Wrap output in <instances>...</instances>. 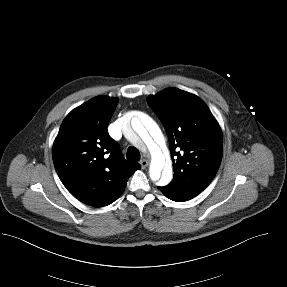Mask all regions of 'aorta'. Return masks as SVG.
Here are the masks:
<instances>
[{
	"instance_id": "aorta-1",
	"label": "aorta",
	"mask_w": 287,
	"mask_h": 287,
	"mask_svg": "<svg viewBox=\"0 0 287 287\" xmlns=\"http://www.w3.org/2000/svg\"><path fill=\"white\" fill-rule=\"evenodd\" d=\"M142 121L148 131L137 118L132 119V128L142 138L151 154V164L149 168L150 178L153 181H158L160 185L165 186L172 180L173 170L168 153L162 151L160 146L164 145V136L152 118L143 114Z\"/></svg>"
}]
</instances>
